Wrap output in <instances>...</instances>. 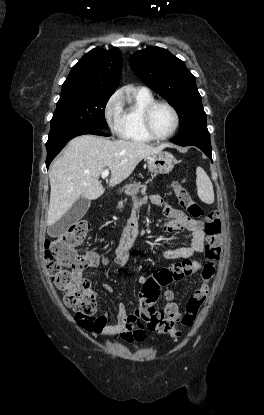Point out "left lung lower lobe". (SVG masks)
<instances>
[{
  "instance_id": "left-lung-lower-lobe-1",
  "label": "left lung lower lobe",
  "mask_w": 264,
  "mask_h": 415,
  "mask_svg": "<svg viewBox=\"0 0 264 415\" xmlns=\"http://www.w3.org/2000/svg\"><path fill=\"white\" fill-rule=\"evenodd\" d=\"M171 142L180 146H196L212 160V149L208 129L195 130L172 139Z\"/></svg>"
}]
</instances>
